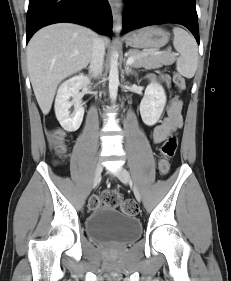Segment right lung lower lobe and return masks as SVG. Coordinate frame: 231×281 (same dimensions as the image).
Listing matches in <instances>:
<instances>
[{
    "label": "right lung lower lobe",
    "mask_w": 231,
    "mask_h": 281,
    "mask_svg": "<svg viewBox=\"0 0 231 281\" xmlns=\"http://www.w3.org/2000/svg\"><path fill=\"white\" fill-rule=\"evenodd\" d=\"M59 22H71L112 36V13L108 0H29L27 43L40 28Z\"/></svg>",
    "instance_id": "98d812e1"
}]
</instances>
